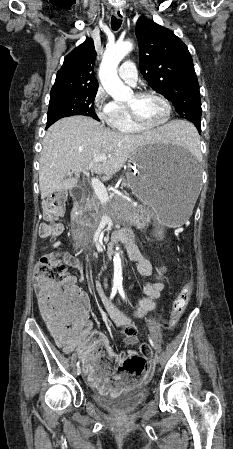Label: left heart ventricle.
Listing matches in <instances>:
<instances>
[{"label":"left heart ventricle","mask_w":233,"mask_h":449,"mask_svg":"<svg viewBox=\"0 0 233 449\" xmlns=\"http://www.w3.org/2000/svg\"><path fill=\"white\" fill-rule=\"evenodd\" d=\"M126 103L133 104L139 117L148 124L159 123L166 114V106L155 96H144L135 99L134 95H131Z\"/></svg>","instance_id":"b2bd125f"}]
</instances>
